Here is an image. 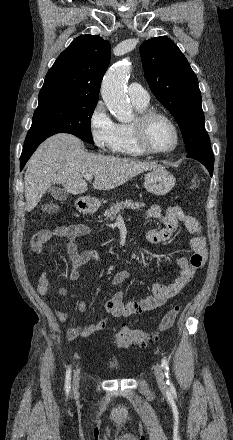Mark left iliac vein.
<instances>
[{
	"label": "left iliac vein",
	"mask_w": 233,
	"mask_h": 440,
	"mask_svg": "<svg viewBox=\"0 0 233 440\" xmlns=\"http://www.w3.org/2000/svg\"><path fill=\"white\" fill-rule=\"evenodd\" d=\"M154 374L156 377L157 384L162 391L166 390V381L162 371V368L159 364H157L154 368Z\"/></svg>",
	"instance_id": "left-iliac-vein-1"
}]
</instances>
